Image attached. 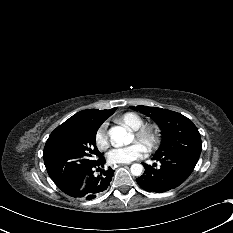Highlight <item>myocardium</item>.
I'll return each instance as SVG.
<instances>
[{
    "instance_id": "myocardium-1",
    "label": "myocardium",
    "mask_w": 233,
    "mask_h": 233,
    "mask_svg": "<svg viewBox=\"0 0 233 233\" xmlns=\"http://www.w3.org/2000/svg\"><path fill=\"white\" fill-rule=\"evenodd\" d=\"M136 140L144 143L147 151L151 152L157 149L162 139L160 126L155 123H143L136 129L132 130Z\"/></svg>"
}]
</instances>
